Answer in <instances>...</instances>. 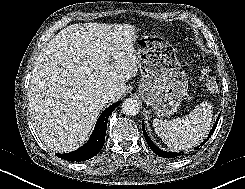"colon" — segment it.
I'll return each instance as SVG.
<instances>
[{
  "label": "colon",
  "instance_id": "colon-1",
  "mask_svg": "<svg viewBox=\"0 0 245 189\" xmlns=\"http://www.w3.org/2000/svg\"><path fill=\"white\" fill-rule=\"evenodd\" d=\"M201 69L205 74V85L209 90H215L218 88V80L211 75L209 66L205 63L201 64Z\"/></svg>",
  "mask_w": 245,
  "mask_h": 189
}]
</instances>
